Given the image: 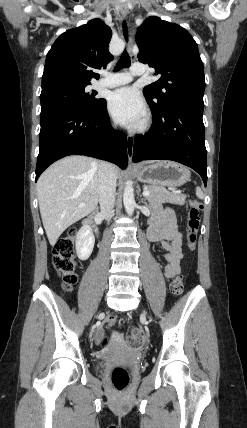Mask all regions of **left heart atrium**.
<instances>
[{"label":"left heart atrium","instance_id":"obj_1","mask_svg":"<svg viewBox=\"0 0 247 428\" xmlns=\"http://www.w3.org/2000/svg\"><path fill=\"white\" fill-rule=\"evenodd\" d=\"M114 118L127 126L138 127L146 117L145 105L138 93L129 87L114 91L108 104Z\"/></svg>","mask_w":247,"mask_h":428}]
</instances>
